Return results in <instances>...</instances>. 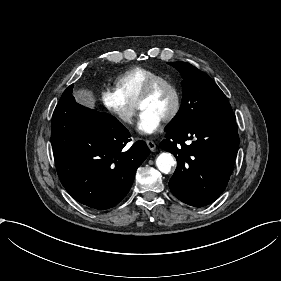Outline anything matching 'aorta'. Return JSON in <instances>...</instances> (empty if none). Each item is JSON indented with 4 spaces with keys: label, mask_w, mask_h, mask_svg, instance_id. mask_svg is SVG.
<instances>
[{
    "label": "aorta",
    "mask_w": 281,
    "mask_h": 281,
    "mask_svg": "<svg viewBox=\"0 0 281 281\" xmlns=\"http://www.w3.org/2000/svg\"><path fill=\"white\" fill-rule=\"evenodd\" d=\"M176 161L172 154L163 152L156 159V166L162 173L170 172Z\"/></svg>",
    "instance_id": "762f6f07"
}]
</instances>
